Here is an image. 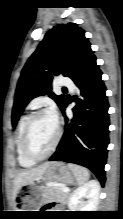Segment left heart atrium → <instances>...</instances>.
<instances>
[{
    "label": "left heart atrium",
    "instance_id": "left-heart-atrium-1",
    "mask_svg": "<svg viewBox=\"0 0 123 219\" xmlns=\"http://www.w3.org/2000/svg\"><path fill=\"white\" fill-rule=\"evenodd\" d=\"M50 115L55 121L57 120V114H56V111L54 109L50 110Z\"/></svg>",
    "mask_w": 123,
    "mask_h": 219
}]
</instances>
